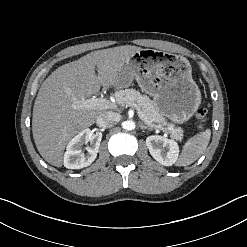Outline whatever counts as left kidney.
Listing matches in <instances>:
<instances>
[{
	"label": "left kidney",
	"mask_w": 247,
	"mask_h": 247,
	"mask_svg": "<svg viewBox=\"0 0 247 247\" xmlns=\"http://www.w3.org/2000/svg\"><path fill=\"white\" fill-rule=\"evenodd\" d=\"M146 145L151 156L161 165L172 166L179 155L178 144L163 136L152 135L146 139Z\"/></svg>",
	"instance_id": "1"
}]
</instances>
